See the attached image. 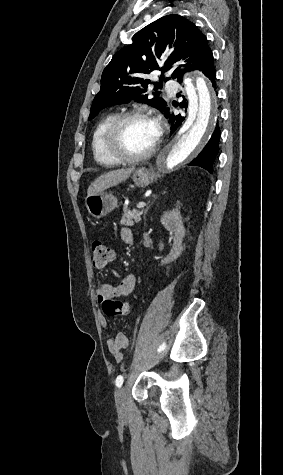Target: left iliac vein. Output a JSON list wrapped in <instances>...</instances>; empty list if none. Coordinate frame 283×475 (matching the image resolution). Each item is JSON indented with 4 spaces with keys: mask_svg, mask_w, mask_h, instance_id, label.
<instances>
[{
    "mask_svg": "<svg viewBox=\"0 0 283 475\" xmlns=\"http://www.w3.org/2000/svg\"><path fill=\"white\" fill-rule=\"evenodd\" d=\"M115 403L119 414L126 415L127 408V396L124 387H119L115 393Z\"/></svg>",
    "mask_w": 283,
    "mask_h": 475,
    "instance_id": "left-iliac-vein-1",
    "label": "left iliac vein"
}]
</instances>
